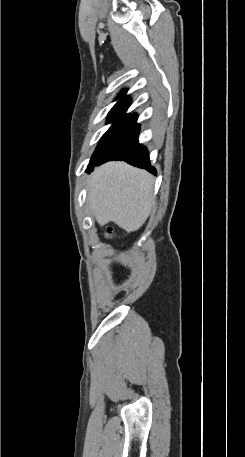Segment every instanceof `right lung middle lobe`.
Instances as JSON below:
<instances>
[{"label": "right lung middle lobe", "instance_id": "obj_1", "mask_svg": "<svg viewBox=\"0 0 245 457\" xmlns=\"http://www.w3.org/2000/svg\"><path fill=\"white\" fill-rule=\"evenodd\" d=\"M129 114H125L124 112H110L108 115V122H113V125L110 129L103 135L101 138L91 160L88 165V170H91L93 166L96 164L97 160L104 152L106 147L110 144L113 138L116 136L118 131L121 129L123 124L125 123L126 119L128 118Z\"/></svg>", "mask_w": 245, "mask_h": 457}]
</instances>
